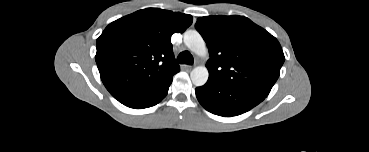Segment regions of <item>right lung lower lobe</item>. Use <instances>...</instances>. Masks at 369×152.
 <instances>
[{"label": "right lung lower lobe", "mask_w": 369, "mask_h": 152, "mask_svg": "<svg viewBox=\"0 0 369 152\" xmlns=\"http://www.w3.org/2000/svg\"><path fill=\"white\" fill-rule=\"evenodd\" d=\"M172 77L167 79L161 86L153 90L147 91L129 99L121 100L120 102L127 107L134 109H143L156 105L167 95L169 86L172 83Z\"/></svg>", "instance_id": "right-lung-lower-lobe-1"}]
</instances>
